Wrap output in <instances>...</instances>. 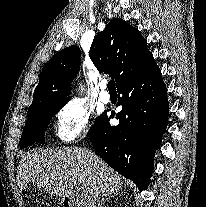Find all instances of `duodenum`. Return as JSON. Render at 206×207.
Returning a JSON list of instances; mask_svg holds the SVG:
<instances>
[{
    "instance_id": "1",
    "label": "duodenum",
    "mask_w": 206,
    "mask_h": 207,
    "mask_svg": "<svg viewBox=\"0 0 206 207\" xmlns=\"http://www.w3.org/2000/svg\"><path fill=\"white\" fill-rule=\"evenodd\" d=\"M67 207H76L74 201L71 198L68 199Z\"/></svg>"
}]
</instances>
